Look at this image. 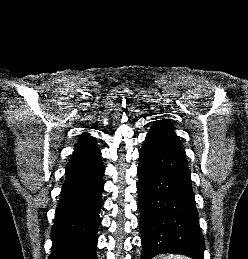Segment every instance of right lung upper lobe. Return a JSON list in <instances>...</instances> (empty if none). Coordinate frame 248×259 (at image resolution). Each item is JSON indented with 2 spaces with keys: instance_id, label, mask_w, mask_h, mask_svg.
Masks as SVG:
<instances>
[{
  "instance_id": "right-lung-upper-lobe-1",
  "label": "right lung upper lobe",
  "mask_w": 248,
  "mask_h": 259,
  "mask_svg": "<svg viewBox=\"0 0 248 259\" xmlns=\"http://www.w3.org/2000/svg\"><path fill=\"white\" fill-rule=\"evenodd\" d=\"M99 152L95 138L88 134H83L75 145V153L70 161L86 159Z\"/></svg>"
}]
</instances>
